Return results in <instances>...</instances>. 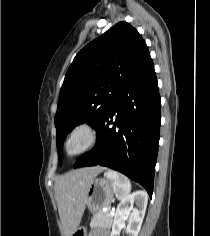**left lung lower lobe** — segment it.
<instances>
[{
  "label": "left lung lower lobe",
  "instance_id": "left-lung-lower-lobe-1",
  "mask_svg": "<svg viewBox=\"0 0 210 236\" xmlns=\"http://www.w3.org/2000/svg\"><path fill=\"white\" fill-rule=\"evenodd\" d=\"M160 103L151 60L117 95L96 129V145L80 156L74 168H112L140 183L151 197L160 138Z\"/></svg>",
  "mask_w": 210,
  "mask_h": 236
}]
</instances>
